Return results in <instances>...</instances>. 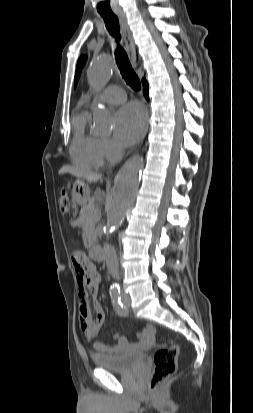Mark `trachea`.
<instances>
[{
    "mask_svg": "<svg viewBox=\"0 0 253 413\" xmlns=\"http://www.w3.org/2000/svg\"><path fill=\"white\" fill-rule=\"evenodd\" d=\"M101 16L105 22L107 30L115 37L118 44L117 49L115 50V59L122 77L131 88L139 90L141 88L140 80L134 72L125 50L119 45L121 35L118 18L114 14H101Z\"/></svg>",
    "mask_w": 253,
    "mask_h": 413,
    "instance_id": "3493384b",
    "label": "trachea"
}]
</instances>
